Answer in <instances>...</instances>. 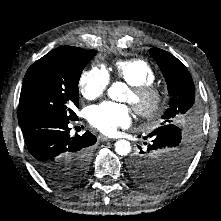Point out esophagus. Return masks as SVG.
Segmentation results:
<instances>
[{
  "mask_svg": "<svg viewBox=\"0 0 221 221\" xmlns=\"http://www.w3.org/2000/svg\"><path fill=\"white\" fill-rule=\"evenodd\" d=\"M99 139L102 141V142H106V141H111L112 139L106 137V136H99Z\"/></svg>",
  "mask_w": 221,
  "mask_h": 221,
  "instance_id": "1",
  "label": "esophagus"
}]
</instances>
